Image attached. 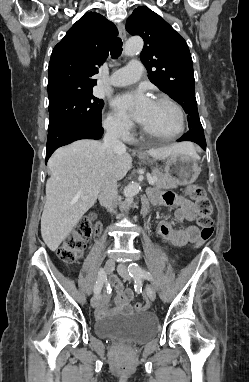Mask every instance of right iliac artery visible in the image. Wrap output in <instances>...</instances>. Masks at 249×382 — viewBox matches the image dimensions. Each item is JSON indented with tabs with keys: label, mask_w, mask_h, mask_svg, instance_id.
Listing matches in <instances>:
<instances>
[{
	"label": "right iliac artery",
	"mask_w": 249,
	"mask_h": 382,
	"mask_svg": "<svg viewBox=\"0 0 249 382\" xmlns=\"http://www.w3.org/2000/svg\"><path fill=\"white\" fill-rule=\"evenodd\" d=\"M106 281V273L103 269H100L98 273V278L94 287V293L99 294L104 282Z\"/></svg>",
	"instance_id": "82829eb1"
}]
</instances>
